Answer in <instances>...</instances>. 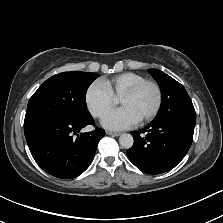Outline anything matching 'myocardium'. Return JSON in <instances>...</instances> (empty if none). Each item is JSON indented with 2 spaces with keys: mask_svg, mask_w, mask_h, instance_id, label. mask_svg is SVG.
I'll use <instances>...</instances> for the list:
<instances>
[{
  "mask_svg": "<svg viewBox=\"0 0 223 223\" xmlns=\"http://www.w3.org/2000/svg\"><path fill=\"white\" fill-rule=\"evenodd\" d=\"M144 86H151L155 92V104L152 110L144 117L139 119V121H148L155 117L161 107L162 94L159 85L153 80H143L137 83L135 86L124 92L119 98L132 97L137 94Z\"/></svg>",
  "mask_w": 223,
  "mask_h": 223,
  "instance_id": "myocardium-1",
  "label": "myocardium"
}]
</instances>
